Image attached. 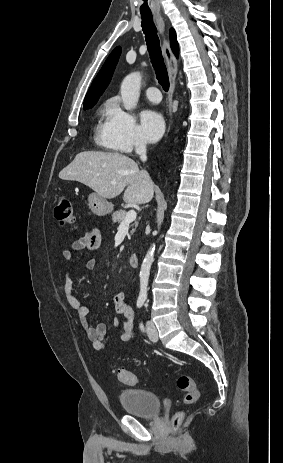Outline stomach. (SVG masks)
I'll list each match as a JSON object with an SVG mask.
<instances>
[{
  "mask_svg": "<svg viewBox=\"0 0 283 463\" xmlns=\"http://www.w3.org/2000/svg\"><path fill=\"white\" fill-rule=\"evenodd\" d=\"M88 204L90 210L97 216H105L113 210V205L96 192L89 194Z\"/></svg>",
  "mask_w": 283,
  "mask_h": 463,
  "instance_id": "stomach-1",
  "label": "stomach"
}]
</instances>
